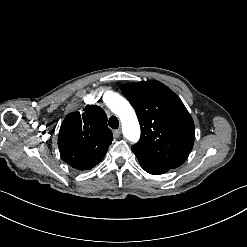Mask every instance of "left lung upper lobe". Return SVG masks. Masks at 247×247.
Returning <instances> with one entry per match:
<instances>
[{"instance_id":"left-lung-upper-lobe-1","label":"left lung upper lobe","mask_w":247,"mask_h":247,"mask_svg":"<svg viewBox=\"0 0 247 247\" xmlns=\"http://www.w3.org/2000/svg\"><path fill=\"white\" fill-rule=\"evenodd\" d=\"M121 91L141 126V138L132 151L170 168L182 165L192 150L195 127L179 97L155 80L128 83Z\"/></svg>"}]
</instances>
